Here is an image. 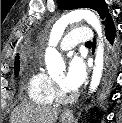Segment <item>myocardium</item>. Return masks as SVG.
<instances>
[{"mask_svg":"<svg viewBox=\"0 0 122 123\" xmlns=\"http://www.w3.org/2000/svg\"><path fill=\"white\" fill-rule=\"evenodd\" d=\"M54 98L60 102H70L76 98V93L66 91L56 80H53Z\"/></svg>","mask_w":122,"mask_h":123,"instance_id":"obj_1","label":"myocardium"}]
</instances>
